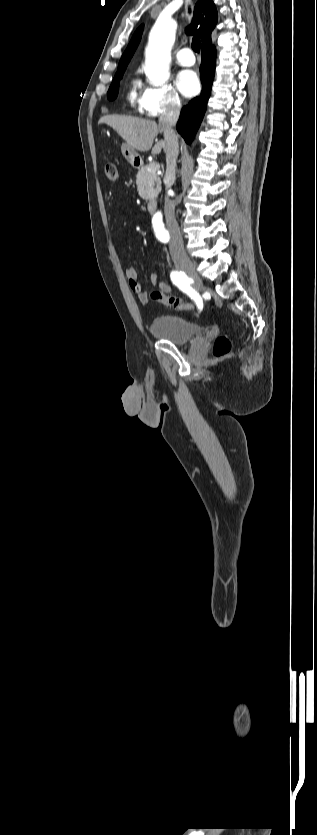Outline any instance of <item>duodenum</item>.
I'll list each match as a JSON object with an SVG mask.
<instances>
[{
  "label": "duodenum",
  "instance_id": "410a0bca",
  "mask_svg": "<svg viewBox=\"0 0 317 835\" xmlns=\"http://www.w3.org/2000/svg\"><path fill=\"white\" fill-rule=\"evenodd\" d=\"M157 205H158V203H157V201H156L155 199H150V200L147 202V209H148L150 212H154V211L156 210V208H157Z\"/></svg>",
  "mask_w": 317,
  "mask_h": 835
}]
</instances>
